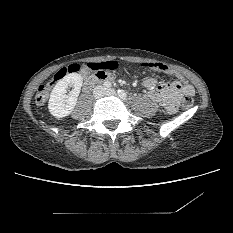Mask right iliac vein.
Returning a JSON list of instances; mask_svg holds the SVG:
<instances>
[{"mask_svg":"<svg viewBox=\"0 0 233 233\" xmlns=\"http://www.w3.org/2000/svg\"><path fill=\"white\" fill-rule=\"evenodd\" d=\"M99 91H100V93H103V92H104V89H103V88H101Z\"/></svg>","mask_w":233,"mask_h":233,"instance_id":"right-iliac-vein-1","label":"right iliac vein"}]
</instances>
